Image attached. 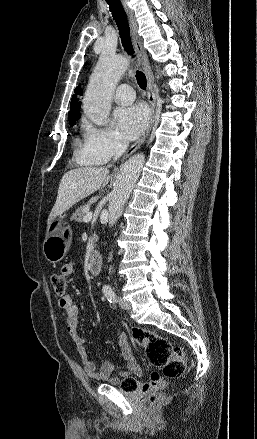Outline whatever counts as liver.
Returning <instances> with one entry per match:
<instances>
[{
    "instance_id": "6515ba94",
    "label": "liver",
    "mask_w": 257,
    "mask_h": 439,
    "mask_svg": "<svg viewBox=\"0 0 257 439\" xmlns=\"http://www.w3.org/2000/svg\"><path fill=\"white\" fill-rule=\"evenodd\" d=\"M110 180L105 167H79L65 173L61 179L56 202L48 217V224L77 202L105 187Z\"/></svg>"
}]
</instances>
